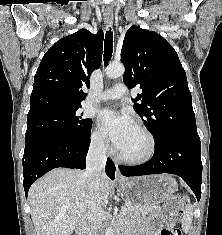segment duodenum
<instances>
[{
    "label": "duodenum",
    "instance_id": "1",
    "mask_svg": "<svg viewBox=\"0 0 222 235\" xmlns=\"http://www.w3.org/2000/svg\"><path fill=\"white\" fill-rule=\"evenodd\" d=\"M76 235H87V231L85 228V224L81 223L77 228H76ZM117 235H124L122 232L118 233Z\"/></svg>",
    "mask_w": 222,
    "mask_h": 235
}]
</instances>
